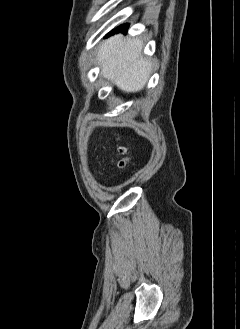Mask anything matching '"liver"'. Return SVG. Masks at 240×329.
Segmentation results:
<instances>
[{
    "mask_svg": "<svg viewBox=\"0 0 240 329\" xmlns=\"http://www.w3.org/2000/svg\"><path fill=\"white\" fill-rule=\"evenodd\" d=\"M142 49L141 40L120 34L104 41L97 53L101 73L124 92L142 90L151 73V61L142 56Z\"/></svg>",
    "mask_w": 240,
    "mask_h": 329,
    "instance_id": "obj_1",
    "label": "liver"
}]
</instances>
